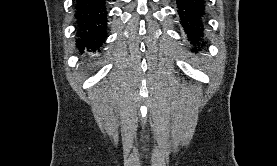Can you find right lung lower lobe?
<instances>
[{"label":"right lung lower lobe","instance_id":"98d812e1","mask_svg":"<svg viewBox=\"0 0 277 166\" xmlns=\"http://www.w3.org/2000/svg\"><path fill=\"white\" fill-rule=\"evenodd\" d=\"M77 47L100 51L107 30V10L105 0H76Z\"/></svg>","mask_w":277,"mask_h":166}]
</instances>
